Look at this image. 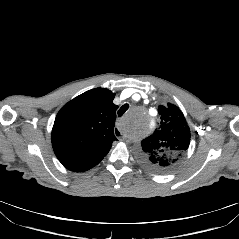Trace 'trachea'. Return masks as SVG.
<instances>
[{"mask_svg":"<svg viewBox=\"0 0 239 239\" xmlns=\"http://www.w3.org/2000/svg\"><path fill=\"white\" fill-rule=\"evenodd\" d=\"M129 108L128 104H124L118 111V116L121 117Z\"/></svg>","mask_w":239,"mask_h":239,"instance_id":"trachea-1","label":"trachea"}]
</instances>
